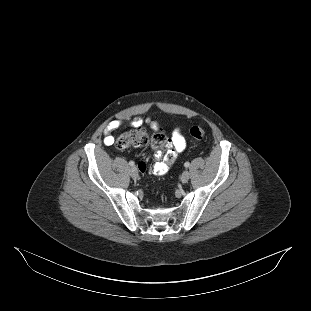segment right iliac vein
Instances as JSON below:
<instances>
[{
    "instance_id": "right-iliac-vein-1",
    "label": "right iliac vein",
    "mask_w": 311,
    "mask_h": 311,
    "mask_svg": "<svg viewBox=\"0 0 311 311\" xmlns=\"http://www.w3.org/2000/svg\"><path fill=\"white\" fill-rule=\"evenodd\" d=\"M130 175H131V177L135 180V179H137L138 178V171H137V169H136V167H132L131 169H130Z\"/></svg>"
}]
</instances>
